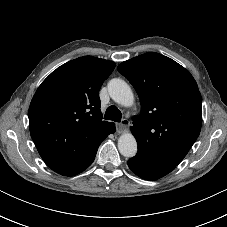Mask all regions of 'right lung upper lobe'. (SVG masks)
Segmentation results:
<instances>
[{
  "mask_svg": "<svg viewBox=\"0 0 227 227\" xmlns=\"http://www.w3.org/2000/svg\"><path fill=\"white\" fill-rule=\"evenodd\" d=\"M115 63L93 56L71 60L38 87L29 107V128L43 161L70 176L98 150L114 123L102 121L99 89Z\"/></svg>",
  "mask_w": 227,
  "mask_h": 227,
  "instance_id": "cb5924a9",
  "label": "right lung upper lobe"
}]
</instances>
